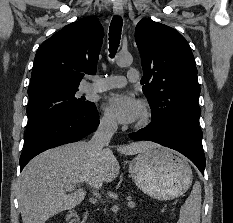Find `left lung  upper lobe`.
Listing matches in <instances>:
<instances>
[{
	"label": "left lung upper lobe",
	"instance_id": "left-lung-upper-lobe-1",
	"mask_svg": "<svg viewBox=\"0 0 233 223\" xmlns=\"http://www.w3.org/2000/svg\"><path fill=\"white\" fill-rule=\"evenodd\" d=\"M135 41L144 72L142 90L151 107V123L198 124V71L186 39L177 30L144 18L136 26Z\"/></svg>",
	"mask_w": 233,
	"mask_h": 223
}]
</instances>
